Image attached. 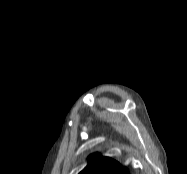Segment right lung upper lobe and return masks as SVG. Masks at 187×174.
Returning a JSON list of instances; mask_svg holds the SVG:
<instances>
[{"instance_id":"cb5924a9","label":"right lung upper lobe","mask_w":187,"mask_h":174,"mask_svg":"<svg viewBox=\"0 0 187 174\" xmlns=\"http://www.w3.org/2000/svg\"><path fill=\"white\" fill-rule=\"evenodd\" d=\"M79 174H129L126 168L109 158L98 154L89 156V164Z\"/></svg>"}]
</instances>
